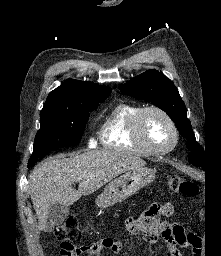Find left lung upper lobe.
<instances>
[{
    "label": "left lung upper lobe",
    "instance_id": "1",
    "mask_svg": "<svg viewBox=\"0 0 221 256\" xmlns=\"http://www.w3.org/2000/svg\"><path fill=\"white\" fill-rule=\"evenodd\" d=\"M122 93L153 103L173 120L180 134L187 139L189 162L205 166L204 149L197 143L191 123L186 117V107L174 83L158 70H148L120 87Z\"/></svg>",
    "mask_w": 221,
    "mask_h": 256
}]
</instances>
